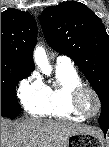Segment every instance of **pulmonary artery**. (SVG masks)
I'll list each match as a JSON object with an SVG mask.
<instances>
[{
  "instance_id": "1",
  "label": "pulmonary artery",
  "mask_w": 109,
  "mask_h": 147,
  "mask_svg": "<svg viewBox=\"0 0 109 147\" xmlns=\"http://www.w3.org/2000/svg\"><path fill=\"white\" fill-rule=\"evenodd\" d=\"M73 61L71 58L65 56V55H59L56 58V66L58 67H64V68H72L73 67Z\"/></svg>"
}]
</instances>
